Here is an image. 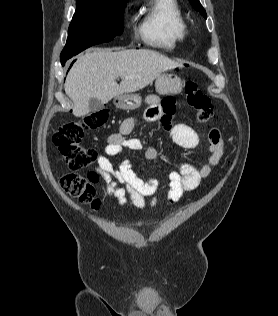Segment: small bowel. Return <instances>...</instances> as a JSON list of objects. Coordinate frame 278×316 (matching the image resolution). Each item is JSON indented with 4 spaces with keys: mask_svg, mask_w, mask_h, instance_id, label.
<instances>
[{
    "mask_svg": "<svg viewBox=\"0 0 278 316\" xmlns=\"http://www.w3.org/2000/svg\"><path fill=\"white\" fill-rule=\"evenodd\" d=\"M148 105L144 120L147 122L162 121L167 123L175 110V101L172 97H166L163 101L155 95H149L145 100ZM138 120L133 117L124 119L119 127V132L110 135L107 139L103 153L97 155L96 170L102 175L105 182V191L108 196L114 198L118 204L125 208L143 209L145 199L151 197L152 204H157L158 182L154 178H141L133 169L130 160H123L115 167L109 157L121 154L125 149L143 150L147 160H155L158 150L155 147L144 148L138 138L129 137ZM170 135L174 142L185 149H195L200 143L196 131L186 124H176L169 127ZM207 150L209 153L207 162L195 166L190 163H182L177 170L169 173L170 188L167 199L171 203L178 202L185 192L196 189L202 180L208 178L213 167L217 166L224 154V141L219 129L213 127L208 134ZM126 185V188L121 185ZM136 227L142 225L136 220L132 223Z\"/></svg>",
    "mask_w": 278,
    "mask_h": 316,
    "instance_id": "obj_1",
    "label": "small bowel"
}]
</instances>
